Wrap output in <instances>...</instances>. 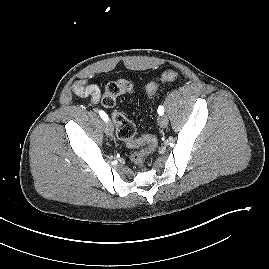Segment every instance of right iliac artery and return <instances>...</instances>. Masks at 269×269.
Segmentation results:
<instances>
[{
	"label": "right iliac artery",
	"instance_id": "right-iliac-artery-1",
	"mask_svg": "<svg viewBox=\"0 0 269 269\" xmlns=\"http://www.w3.org/2000/svg\"><path fill=\"white\" fill-rule=\"evenodd\" d=\"M99 115H100V117L105 121V122H107L108 121V116H107V114L104 112V111H99Z\"/></svg>",
	"mask_w": 269,
	"mask_h": 269
}]
</instances>
